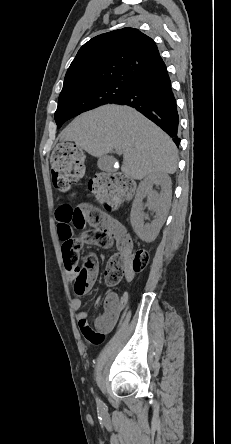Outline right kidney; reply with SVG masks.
<instances>
[{"mask_svg": "<svg viewBox=\"0 0 231 444\" xmlns=\"http://www.w3.org/2000/svg\"><path fill=\"white\" fill-rule=\"evenodd\" d=\"M158 184L161 192L153 191V185ZM171 179L166 173H152L138 186L133 201L130 220L134 232L145 242L153 241L163 226L170 207L172 197ZM147 197V207L155 212V219L151 223H144L147 216L143 212V199Z\"/></svg>", "mask_w": 231, "mask_h": 444, "instance_id": "1", "label": "right kidney"}]
</instances>
